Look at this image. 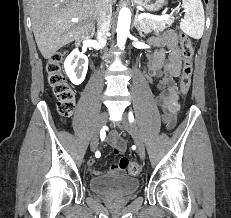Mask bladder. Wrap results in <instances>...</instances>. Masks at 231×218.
Returning a JSON list of instances; mask_svg holds the SVG:
<instances>
[{"instance_id":"1","label":"bladder","mask_w":231,"mask_h":218,"mask_svg":"<svg viewBox=\"0 0 231 218\" xmlns=\"http://www.w3.org/2000/svg\"><path fill=\"white\" fill-rule=\"evenodd\" d=\"M93 192L111 198H124L139 188V180L130 176H97L89 182Z\"/></svg>"}]
</instances>
